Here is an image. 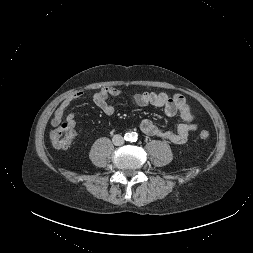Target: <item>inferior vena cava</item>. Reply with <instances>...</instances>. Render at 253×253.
Listing matches in <instances>:
<instances>
[{
  "label": "inferior vena cava",
  "instance_id": "obj_1",
  "mask_svg": "<svg viewBox=\"0 0 253 253\" xmlns=\"http://www.w3.org/2000/svg\"><path fill=\"white\" fill-rule=\"evenodd\" d=\"M112 141H113L114 145H116V146H121L124 143L123 137L118 134L113 136Z\"/></svg>",
  "mask_w": 253,
  "mask_h": 253
}]
</instances>
